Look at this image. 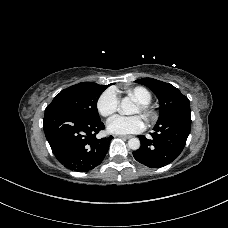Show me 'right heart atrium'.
<instances>
[{
    "mask_svg": "<svg viewBox=\"0 0 228 228\" xmlns=\"http://www.w3.org/2000/svg\"><path fill=\"white\" fill-rule=\"evenodd\" d=\"M119 105V98L114 89L104 90L96 101V108L103 117H109L114 114Z\"/></svg>",
    "mask_w": 228,
    "mask_h": 228,
    "instance_id": "obj_1",
    "label": "right heart atrium"
}]
</instances>
